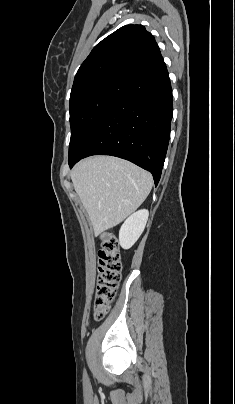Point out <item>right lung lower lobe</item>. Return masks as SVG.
Here are the masks:
<instances>
[{"label": "right lung lower lobe", "mask_w": 235, "mask_h": 404, "mask_svg": "<svg viewBox=\"0 0 235 404\" xmlns=\"http://www.w3.org/2000/svg\"><path fill=\"white\" fill-rule=\"evenodd\" d=\"M173 103L165 63L127 82L120 99L69 155L72 167L91 155L129 160L153 174L158 184L170 138Z\"/></svg>", "instance_id": "1"}]
</instances>
